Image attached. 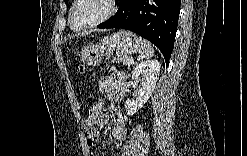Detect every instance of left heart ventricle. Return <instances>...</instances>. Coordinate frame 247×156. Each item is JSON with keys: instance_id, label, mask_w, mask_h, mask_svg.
I'll return each mask as SVG.
<instances>
[{"instance_id": "left-heart-ventricle-1", "label": "left heart ventricle", "mask_w": 247, "mask_h": 156, "mask_svg": "<svg viewBox=\"0 0 247 156\" xmlns=\"http://www.w3.org/2000/svg\"><path fill=\"white\" fill-rule=\"evenodd\" d=\"M107 10V4L103 0H84L76 7L73 21L76 25H85L103 16Z\"/></svg>"}]
</instances>
